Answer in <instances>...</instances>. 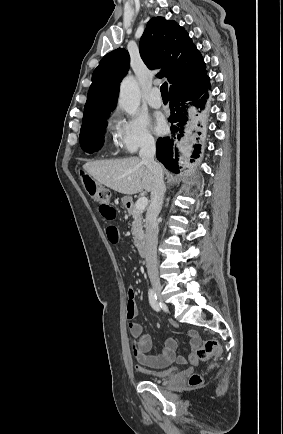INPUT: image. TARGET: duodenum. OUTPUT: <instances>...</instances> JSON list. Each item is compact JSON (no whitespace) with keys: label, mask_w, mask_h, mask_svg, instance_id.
I'll return each instance as SVG.
<instances>
[{"label":"duodenum","mask_w":283,"mask_h":434,"mask_svg":"<svg viewBox=\"0 0 283 434\" xmlns=\"http://www.w3.org/2000/svg\"><path fill=\"white\" fill-rule=\"evenodd\" d=\"M126 204H127L128 207H131L132 206V201L130 199H128L126 201ZM138 249H139L140 254L143 257L147 256V253H148V242H147V239L145 237H143V238H141L139 240V242H138Z\"/></svg>","instance_id":"obj_1"}]
</instances>
